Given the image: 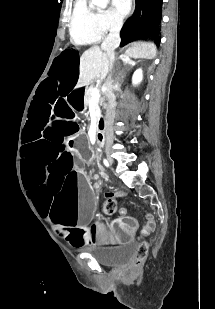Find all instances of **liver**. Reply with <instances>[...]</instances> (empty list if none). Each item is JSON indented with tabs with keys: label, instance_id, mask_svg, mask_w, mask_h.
<instances>
[{
	"label": "liver",
	"instance_id": "6515ba94",
	"mask_svg": "<svg viewBox=\"0 0 215 309\" xmlns=\"http://www.w3.org/2000/svg\"><path fill=\"white\" fill-rule=\"evenodd\" d=\"M125 54L132 58H154L157 48L154 42H132V46L126 48ZM109 62L107 52H102L97 44L85 50L80 56V74L75 88L91 84L95 78L103 80L107 76Z\"/></svg>",
	"mask_w": 215,
	"mask_h": 309
}]
</instances>
